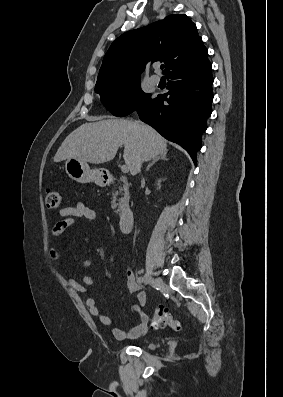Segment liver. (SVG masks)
<instances>
[{
    "label": "liver",
    "mask_w": 283,
    "mask_h": 397,
    "mask_svg": "<svg viewBox=\"0 0 283 397\" xmlns=\"http://www.w3.org/2000/svg\"><path fill=\"white\" fill-rule=\"evenodd\" d=\"M121 146L133 176L144 161L167 152V141L152 127L138 121L108 119L85 123L71 132L55 154L54 162L76 158L101 164L111 161Z\"/></svg>",
    "instance_id": "liver-1"
}]
</instances>
